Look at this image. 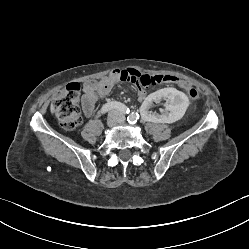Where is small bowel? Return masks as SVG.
<instances>
[{
    "label": "small bowel",
    "instance_id": "small-bowel-1",
    "mask_svg": "<svg viewBox=\"0 0 249 249\" xmlns=\"http://www.w3.org/2000/svg\"><path fill=\"white\" fill-rule=\"evenodd\" d=\"M141 77L142 72L140 70H113L109 75L99 80L86 81L83 85L84 94L81 99L84 114L87 117L92 116L96 104L109 94L116 83L121 81H127L128 83H131L133 87H137V90L139 91L138 98L144 103L147 94L145 93L143 85L140 84L139 79Z\"/></svg>",
    "mask_w": 249,
    "mask_h": 249
}]
</instances>
